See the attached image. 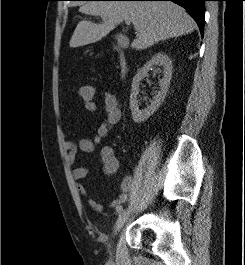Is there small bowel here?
Here are the masks:
<instances>
[{"label":"small bowel","mask_w":245,"mask_h":265,"mask_svg":"<svg viewBox=\"0 0 245 265\" xmlns=\"http://www.w3.org/2000/svg\"><path fill=\"white\" fill-rule=\"evenodd\" d=\"M84 108L88 112L94 113L98 110V107L94 101L84 103ZM104 113L105 120L98 127L95 135L92 138H82L77 143L73 141H66L64 143V149L67 155V161L70 165H73L76 161L78 151L90 153L93 152L95 146L100 143L111 131V129L121 119V104L117 96L112 92H105L104 94ZM101 162L103 165V171L106 175H112L116 173L119 168L118 159L115 156L114 150L110 146H105L100 152ZM88 175V169L86 166H77L73 169V177L75 180H82ZM78 193L83 197H88L86 187L78 183ZM134 188V180L131 175H126L119 185L118 196L110 203L111 208H115L127 202L129 196ZM87 203L96 212H102L104 206L93 198H87Z\"/></svg>","instance_id":"1"}]
</instances>
